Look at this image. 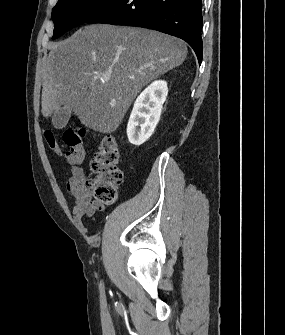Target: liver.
Instances as JSON below:
<instances>
[{"label":"liver","mask_w":285,"mask_h":335,"mask_svg":"<svg viewBox=\"0 0 285 335\" xmlns=\"http://www.w3.org/2000/svg\"><path fill=\"white\" fill-rule=\"evenodd\" d=\"M47 48L41 94L44 118L68 106L83 126L102 134L115 132L140 90L187 56L183 40L109 24L84 26Z\"/></svg>","instance_id":"obj_1"}]
</instances>
